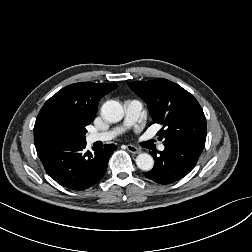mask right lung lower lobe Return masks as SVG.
<instances>
[{
	"mask_svg": "<svg viewBox=\"0 0 252 252\" xmlns=\"http://www.w3.org/2000/svg\"><path fill=\"white\" fill-rule=\"evenodd\" d=\"M86 141L67 142L36 148L48 175L72 190H84L96 184L105 174L116 146L107 144L94 153L85 151Z\"/></svg>",
	"mask_w": 252,
	"mask_h": 252,
	"instance_id": "98d812e1",
	"label": "right lung lower lobe"
}]
</instances>
